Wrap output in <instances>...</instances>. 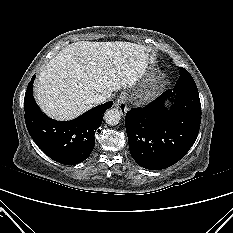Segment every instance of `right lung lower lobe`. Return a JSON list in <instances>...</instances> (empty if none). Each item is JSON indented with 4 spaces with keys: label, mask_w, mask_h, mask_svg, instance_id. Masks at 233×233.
<instances>
[{
    "label": "right lung lower lobe",
    "mask_w": 233,
    "mask_h": 233,
    "mask_svg": "<svg viewBox=\"0 0 233 233\" xmlns=\"http://www.w3.org/2000/svg\"><path fill=\"white\" fill-rule=\"evenodd\" d=\"M35 75L27 86L24 101L25 122L37 146L51 159L65 165L84 161L93 151L95 131L101 125L112 101L96 106L71 121H56L40 110L33 97Z\"/></svg>",
    "instance_id": "obj_1"
}]
</instances>
